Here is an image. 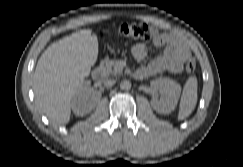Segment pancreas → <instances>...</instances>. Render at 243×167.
Wrapping results in <instances>:
<instances>
[{"label": "pancreas", "instance_id": "cf45deb5", "mask_svg": "<svg viewBox=\"0 0 243 167\" xmlns=\"http://www.w3.org/2000/svg\"><path fill=\"white\" fill-rule=\"evenodd\" d=\"M101 68L105 74V76L121 74L123 68L119 65V61H113V60H105L101 64Z\"/></svg>", "mask_w": 243, "mask_h": 167}]
</instances>
